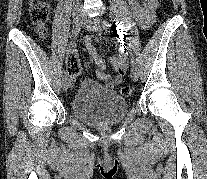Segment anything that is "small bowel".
Listing matches in <instances>:
<instances>
[{
  "label": "small bowel",
  "mask_w": 207,
  "mask_h": 179,
  "mask_svg": "<svg viewBox=\"0 0 207 179\" xmlns=\"http://www.w3.org/2000/svg\"><path fill=\"white\" fill-rule=\"evenodd\" d=\"M158 4V0H129V5L133 10L136 21L143 29L149 28L155 21V10ZM114 48L118 53L110 57V64L115 70V75L111 76L105 72V62L98 54L96 48L92 45L89 38L85 39V47L92 61L97 66L96 77L98 80L104 82L105 87L109 90H113L119 84H121L123 76L125 75L128 65L126 61V49L120 43H115ZM70 52H74V48L70 49ZM76 58V57H75ZM76 62L79 64L78 59ZM70 83L73 85L75 77H70Z\"/></svg>",
  "instance_id": "obj_1"
}]
</instances>
